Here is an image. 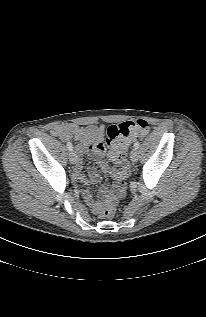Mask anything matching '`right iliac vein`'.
<instances>
[{"mask_svg":"<svg viewBox=\"0 0 206 317\" xmlns=\"http://www.w3.org/2000/svg\"><path fill=\"white\" fill-rule=\"evenodd\" d=\"M69 159H70V162H71L72 164H75V163H76L77 158H76V155H75L74 152H71V153H70Z\"/></svg>","mask_w":206,"mask_h":317,"instance_id":"1","label":"right iliac vein"}]
</instances>
